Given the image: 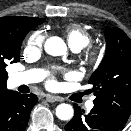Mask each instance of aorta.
Returning <instances> with one entry per match:
<instances>
[{"label":"aorta","mask_w":131,"mask_h":131,"mask_svg":"<svg viewBox=\"0 0 131 131\" xmlns=\"http://www.w3.org/2000/svg\"><path fill=\"white\" fill-rule=\"evenodd\" d=\"M45 51L52 56H60L66 53L67 47L64 41L57 36L50 37L44 45ZM74 115L73 107L62 103L56 108V116L60 120H70Z\"/></svg>","instance_id":"aorta-1"}]
</instances>
